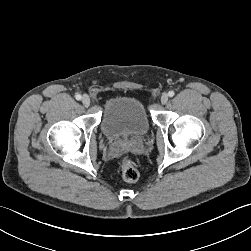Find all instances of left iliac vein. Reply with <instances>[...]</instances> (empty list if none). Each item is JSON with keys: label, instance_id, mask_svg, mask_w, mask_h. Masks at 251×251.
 <instances>
[{"label": "left iliac vein", "instance_id": "obj_1", "mask_svg": "<svg viewBox=\"0 0 251 251\" xmlns=\"http://www.w3.org/2000/svg\"><path fill=\"white\" fill-rule=\"evenodd\" d=\"M168 99L169 95L167 93H163L160 100L162 104H166L168 102Z\"/></svg>", "mask_w": 251, "mask_h": 251}]
</instances>
